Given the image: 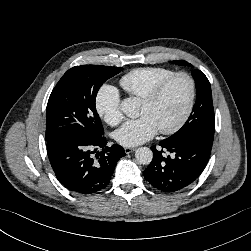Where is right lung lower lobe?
<instances>
[{
  "label": "right lung lower lobe",
  "instance_id": "1",
  "mask_svg": "<svg viewBox=\"0 0 251 251\" xmlns=\"http://www.w3.org/2000/svg\"><path fill=\"white\" fill-rule=\"evenodd\" d=\"M47 154L59 182L83 195L106 188L118 160L126 155L120 145L108 147L103 136L79 132L63 133L47 141Z\"/></svg>",
  "mask_w": 251,
  "mask_h": 251
}]
</instances>
